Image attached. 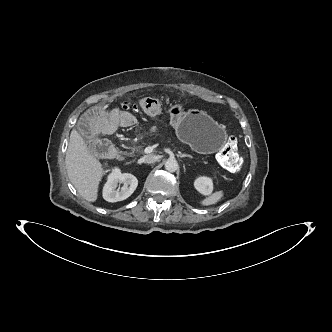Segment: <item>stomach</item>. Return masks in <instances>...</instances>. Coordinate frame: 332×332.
Listing matches in <instances>:
<instances>
[{
    "label": "stomach",
    "instance_id": "obj_1",
    "mask_svg": "<svg viewBox=\"0 0 332 332\" xmlns=\"http://www.w3.org/2000/svg\"><path fill=\"white\" fill-rule=\"evenodd\" d=\"M170 116L178 138L194 150L213 153L225 145L226 131L206 112L198 109L185 112L176 104L171 107Z\"/></svg>",
    "mask_w": 332,
    "mask_h": 332
}]
</instances>
